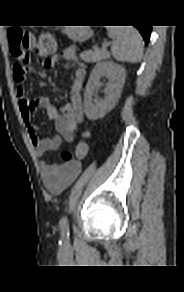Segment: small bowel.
I'll list each match as a JSON object with an SVG mask.
<instances>
[{
	"label": "small bowel",
	"instance_id": "small-bowel-1",
	"mask_svg": "<svg viewBox=\"0 0 184 292\" xmlns=\"http://www.w3.org/2000/svg\"><path fill=\"white\" fill-rule=\"evenodd\" d=\"M61 58L66 62L76 65L70 87V101L61 109L53 105L45 96L29 100L25 94L26 67L21 68L19 64H15L13 68L20 114L38 156L57 150L62 142H73L77 125L83 120L81 90L86 68L78 60L74 46L64 49ZM59 60L60 57L58 55H53L46 59L43 65L47 69H54ZM38 108H43L47 116L54 120L56 127V135L54 137L39 138L37 126L31 121L32 113ZM80 170L81 164L77 160L65 164L43 161L41 164L43 183L52 194H60L64 191L77 178Z\"/></svg>",
	"mask_w": 184,
	"mask_h": 292
}]
</instances>
